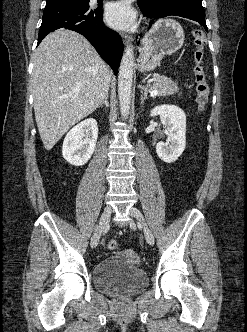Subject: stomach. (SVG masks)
<instances>
[{
  "label": "stomach",
  "mask_w": 247,
  "mask_h": 332,
  "mask_svg": "<svg viewBox=\"0 0 247 332\" xmlns=\"http://www.w3.org/2000/svg\"><path fill=\"white\" fill-rule=\"evenodd\" d=\"M185 35L181 25L173 19L157 21L141 41L138 70L147 72L159 65L166 55L178 51Z\"/></svg>",
  "instance_id": "stomach-1"
}]
</instances>
